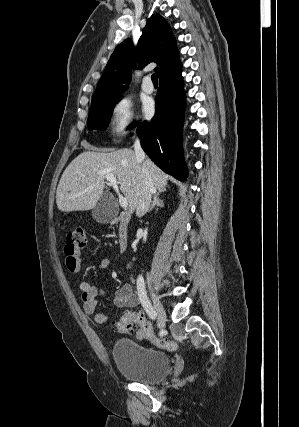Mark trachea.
I'll return each mask as SVG.
<instances>
[{
	"label": "trachea",
	"mask_w": 299,
	"mask_h": 427,
	"mask_svg": "<svg viewBox=\"0 0 299 427\" xmlns=\"http://www.w3.org/2000/svg\"><path fill=\"white\" fill-rule=\"evenodd\" d=\"M151 79L153 84H158V76L156 73L152 74Z\"/></svg>",
	"instance_id": "obj_1"
}]
</instances>
